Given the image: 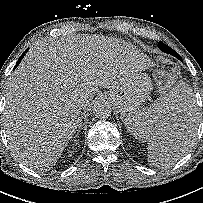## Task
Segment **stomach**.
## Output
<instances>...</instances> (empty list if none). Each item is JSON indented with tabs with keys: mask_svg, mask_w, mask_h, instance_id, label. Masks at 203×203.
<instances>
[{
	"mask_svg": "<svg viewBox=\"0 0 203 203\" xmlns=\"http://www.w3.org/2000/svg\"><path fill=\"white\" fill-rule=\"evenodd\" d=\"M150 90L151 80L148 75L138 73L131 82L112 92V101L124 118V122L135 111L141 110V105Z\"/></svg>",
	"mask_w": 203,
	"mask_h": 203,
	"instance_id": "obj_1",
	"label": "stomach"
}]
</instances>
